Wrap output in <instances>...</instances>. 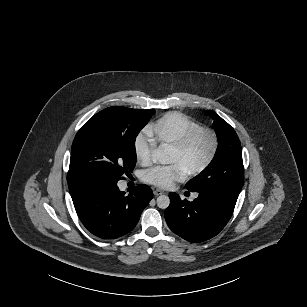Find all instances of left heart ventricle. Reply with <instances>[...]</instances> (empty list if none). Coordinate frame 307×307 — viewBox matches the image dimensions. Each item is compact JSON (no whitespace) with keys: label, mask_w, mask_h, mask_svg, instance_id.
I'll use <instances>...</instances> for the list:
<instances>
[{"label":"left heart ventricle","mask_w":307,"mask_h":307,"mask_svg":"<svg viewBox=\"0 0 307 307\" xmlns=\"http://www.w3.org/2000/svg\"><path fill=\"white\" fill-rule=\"evenodd\" d=\"M211 149V140L208 136H201L186 151L182 153L168 150L163 161L164 163H178L186 171L199 165L208 155Z\"/></svg>","instance_id":"1"}]
</instances>
